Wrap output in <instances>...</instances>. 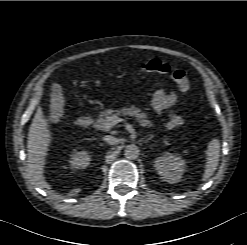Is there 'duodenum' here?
<instances>
[{
  "instance_id": "1",
  "label": "duodenum",
  "mask_w": 247,
  "mask_h": 245,
  "mask_svg": "<svg viewBox=\"0 0 247 245\" xmlns=\"http://www.w3.org/2000/svg\"><path fill=\"white\" fill-rule=\"evenodd\" d=\"M91 118L87 115H82L76 120V126L80 128H86L90 126Z\"/></svg>"
}]
</instances>
